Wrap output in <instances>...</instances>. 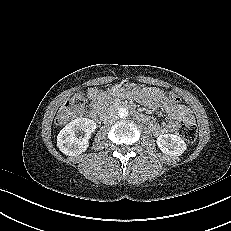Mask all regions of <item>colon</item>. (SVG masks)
<instances>
[{
	"label": "colon",
	"instance_id": "5ec220e1",
	"mask_svg": "<svg viewBox=\"0 0 231 231\" xmlns=\"http://www.w3.org/2000/svg\"><path fill=\"white\" fill-rule=\"evenodd\" d=\"M168 99L172 104H181L180 97L175 93H170ZM84 107L82 95H75L64 106L57 116L56 122L60 125L67 123L70 119L78 116ZM179 133L187 142H194L197 137V127L194 123H185L180 127Z\"/></svg>",
	"mask_w": 231,
	"mask_h": 231
}]
</instances>
